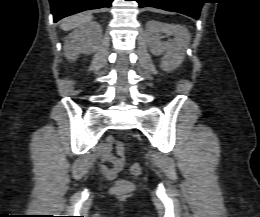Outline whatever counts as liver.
I'll return each mask as SVG.
<instances>
[{"label":"liver","mask_w":260,"mask_h":217,"mask_svg":"<svg viewBox=\"0 0 260 217\" xmlns=\"http://www.w3.org/2000/svg\"><path fill=\"white\" fill-rule=\"evenodd\" d=\"M91 19H92L91 14L74 15L63 20L62 23L60 24V27L64 31H69L91 21Z\"/></svg>","instance_id":"liver-1"}]
</instances>
